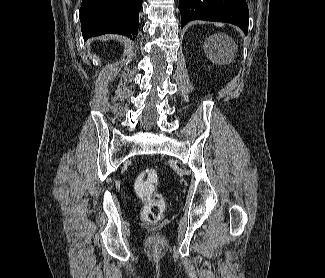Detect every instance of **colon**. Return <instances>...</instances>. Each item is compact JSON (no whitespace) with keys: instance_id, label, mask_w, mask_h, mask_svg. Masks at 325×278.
I'll use <instances>...</instances> for the list:
<instances>
[{"instance_id":"5ec220e1","label":"colon","mask_w":325,"mask_h":278,"mask_svg":"<svg viewBox=\"0 0 325 278\" xmlns=\"http://www.w3.org/2000/svg\"><path fill=\"white\" fill-rule=\"evenodd\" d=\"M158 183V172L153 168L143 170L135 180V190L145 201L142 219L150 224L159 223L165 210L164 198L157 190Z\"/></svg>"}]
</instances>
